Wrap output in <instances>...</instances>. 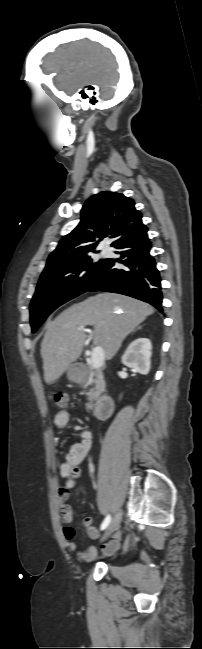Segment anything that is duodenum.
<instances>
[{
  "label": "duodenum",
  "mask_w": 202,
  "mask_h": 649,
  "mask_svg": "<svg viewBox=\"0 0 202 649\" xmlns=\"http://www.w3.org/2000/svg\"><path fill=\"white\" fill-rule=\"evenodd\" d=\"M114 410V403L111 397L102 396L96 402L94 407V414L100 419H107L111 416Z\"/></svg>",
  "instance_id": "410a0bca"
}]
</instances>
